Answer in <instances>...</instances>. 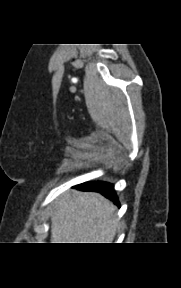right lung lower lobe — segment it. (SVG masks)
Instances as JSON below:
<instances>
[{
  "label": "right lung lower lobe",
  "mask_w": 181,
  "mask_h": 288,
  "mask_svg": "<svg viewBox=\"0 0 181 288\" xmlns=\"http://www.w3.org/2000/svg\"><path fill=\"white\" fill-rule=\"evenodd\" d=\"M78 189L83 191L99 192L106 198L110 199L120 207L119 200L114 190V185L108 182H85L77 186Z\"/></svg>",
  "instance_id": "right-lung-lower-lobe-1"
}]
</instances>
